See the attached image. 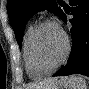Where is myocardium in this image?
<instances>
[{"instance_id":"obj_1","label":"myocardium","mask_w":89,"mask_h":89,"mask_svg":"<svg viewBox=\"0 0 89 89\" xmlns=\"http://www.w3.org/2000/svg\"><path fill=\"white\" fill-rule=\"evenodd\" d=\"M46 25H54L60 30V32L62 33L63 38H64L65 47H64V51H63V54L60 57V59L51 67L44 68L38 62V58L35 53V42H36V38H37L40 30ZM69 51H70V41H69L68 35L53 21L44 20L35 26V29L30 38V55H31L32 62L37 70H39L45 74L51 73L52 71H54L55 69H57L60 65H62L64 63V61L66 60V58L69 54Z\"/></svg>"}]
</instances>
